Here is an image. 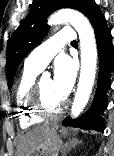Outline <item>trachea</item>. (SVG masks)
Segmentation results:
<instances>
[{"label":"trachea","mask_w":114,"mask_h":156,"mask_svg":"<svg viewBox=\"0 0 114 156\" xmlns=\"http://www.w3.org/2000/svg\"><path fill=\"white\" fill-rule=\"evenodd\" d=\"M72 44H77V41H72Z\"/></svg>","instance_id":"3493384b"}]
</instances>
